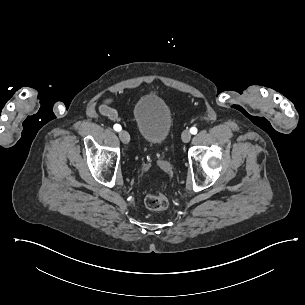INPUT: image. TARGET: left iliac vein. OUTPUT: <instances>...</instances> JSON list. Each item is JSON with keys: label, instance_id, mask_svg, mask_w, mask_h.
Returning <instances> with one entry per match:
<instances>
[{"label": "left iliac vein", "instance_id": "4c4485c4", "mask_svg": "<svg viewBox=\"0 0 305 305\" xmlns=\"http://www.w3.org/2000/svg\"><path fill=\"white\" fill-rule=\"evenodd\" d=\"M190 139H191V132L189 130L183 131L182 140L187 143L190 141Z\"/></svg>", "mask_w": 305, "mask_h": 305}]
</instances>
